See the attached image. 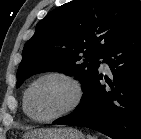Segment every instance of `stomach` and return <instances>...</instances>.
<instances>
[{"label":"stomach","instance_id":"stomach-1","mask_svg":"<svg viewBox=\"0 0 141 139\" xmlns=\"http://www.w3.org/2000/svg\"><path fill=\"white\" fill-rule=\"evenodd\" d=\"M23 139H85V136L72 127L47 128L31 131Z\"/></svg>","mask_w":141,"mask_h":139}]
</instances>
